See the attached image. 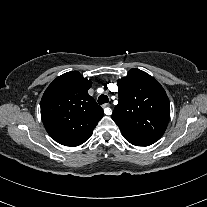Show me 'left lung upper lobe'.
<instances>
[{"label": "left lung upper lobe", "instance_id": "left-lung-upper-lobe-1", "mask_svg": "<svg viewBox=\"0 0 207 207\" xmlns=\"http://www.w3.org/2000/svg\"><path fill=\"white\" fill-rule=\"evenodd\" d=\"M119 102L112 119L125 139L136 146L155 143L165 132L170 103L163 87L149 74L131 69L118 80Z\"/></svg>", "mask_w": 207, "mask_h": 207}]
</instances>
